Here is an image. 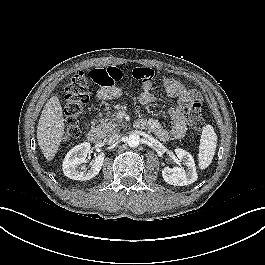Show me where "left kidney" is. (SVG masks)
<instances>
[{
  "label": "left kidney",
  "mask_w": 265,
  "mask_h": 265,
  "mask_svg": "<svg viewBox=\"0 0 265 265\" xmlns=\"http://www.w3.org/2000/svg\"><path fill=\"white\" fill-rule=\"evenodd\" d=\"M175 153L178 159L187 166V170L182 167H165L162 169V177L164 181L174 186L192 184L198 178L192 155L180 148L175 149Z\"/></svg>",
  "instance_id": "obj_1"
}]
</instances>
